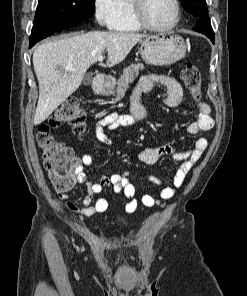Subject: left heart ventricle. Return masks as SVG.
Masks as SVG:
<instances>
[{"label": "left heart ventricle", "mask_w": 247, "mask_h": 296, "mask_svg": "<svg viewBox=\"0 0 247 296\" xmlns=\"http://www.w3.org/2000/svg\"><path fill=\"white\" fill-rule=\"evenodd\" d=\"M145 18L153 26L164 27L174 17V6L171 0H146Z\"/></svg>", "instance_id": "b2bd125f"}]
</instances>
